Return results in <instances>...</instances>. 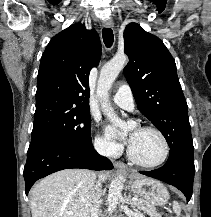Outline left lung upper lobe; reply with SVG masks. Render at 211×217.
Masks as SVG:
<instances>
[{
  "instance_id": "left-lung-upper-lobe-1",
  "label": "left lung upper lobe",
  "mask_w": 211,
  "mask_h": 217,
  "mask_svg": "<svg viewBox=\"0 0 211 217\" xmlns=\"http://www.w3.org/2000/svg\"><path fill=\"white\" fill-rule=\"evenodd\" d=\"M124 52L129 56L124 75L140 112L163 134L170 154L194 155L188 106L166 46L139 24L130 23L124 31Z\"/></svg>"
}]
</instances>
